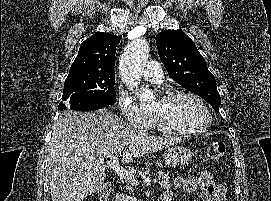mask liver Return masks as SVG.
Returning a JSON list of instances; mask_svg holds the SVG:
<instances>
[{
	"label": "liver",
	"mask_w": 271,
	"mask_h": 201,
	"mask_svg": "<svg viewBox=\"0 0 271 201\" xmlns=\"http://www.w3.org/2000/svg\"><path fill=\"white\" fill-rule=\"evenodd\" d=\"M177 140L136 130L103 109L60 114L48 146L47 173L52 201H82L103 188L101 158L120 155L123 163L157 152Z\"/></svg>",
	"instance_id": "liver-1"
}]
</instances>
